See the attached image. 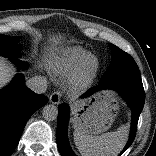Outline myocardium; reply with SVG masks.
Listing matches in <instances>:
<instances>
[{"mask_svg":"<svg viewBox=\"0 0 156 156\" xmlns=\"http://www.w3.org/2000/svg\"><path fill=\"white\" fill-rule=\"evenodd\" d=\"M98 70L97 63L83 64L69 81V88L73 92L87 88L96 77Z\"/></svg>","mask_w":156,"mask_h":156,"instance_id":"obj_1","label":"myocardium"}]
</instances>
